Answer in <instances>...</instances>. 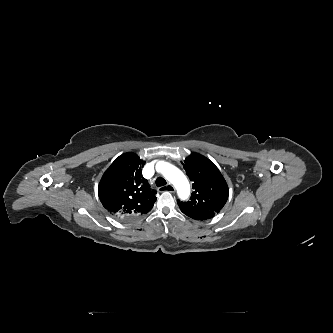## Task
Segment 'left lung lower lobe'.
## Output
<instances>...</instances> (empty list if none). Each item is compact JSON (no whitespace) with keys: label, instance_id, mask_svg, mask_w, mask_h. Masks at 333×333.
<instances>
[{"label":"left lung lower lobe","instance_id":"obj_1","mask_svg":"<svg viewBox=\"0 0 333 333\" xmlns=\"http://www.w3.org/2000/svg\"><path fill=\"white\" fill-rule=\"evenodd\" d=\"M180 210H181L185 215H187L188 217H190V218H192V219H195V220H206V219H210V218H212V216L195 214V213L189 212V211H187V210H184V209H182V208H180Z\"/></svg>","mask_w":333,"mask_h":333}]
</instances>
